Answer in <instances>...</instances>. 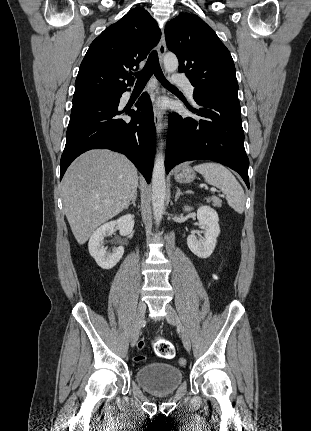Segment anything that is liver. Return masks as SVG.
<instances>
[{
	"instance_id": "6515ba94",
	"label": "liver",
	"mask_w": 311,
	"mask_h": 431,
	"mask_svg": "<svg viewBox=\"0 0 311 431\" xmlns=\"http://www.w3.org/2000/svg\"><path fill=\"white\" fill-rule=\"evenodd\" d=\"M138 172L126 156L90 150L69 166L62 180L64 212L78 243L117 216L137 194Z\"/></svg>"
}]
</instances>
